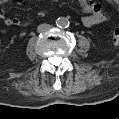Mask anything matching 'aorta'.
<instances>
[{
	"instance_id": "1",
	"label": "aorta",
	"mask_w": 119,
	"mask_h": 119,
	"mask_svg": "<svg viewBox=\"0 0 119 119\" xmlns=\"http://www.w3.org/2000/svg\"><path fill=\"white\" fill-rule=\"evenodd\" d=\"M56 25L59 26V27H67L69 25V21L64 18V17H59L57 20H56Z\"/></svg>"
}]
</instances>
